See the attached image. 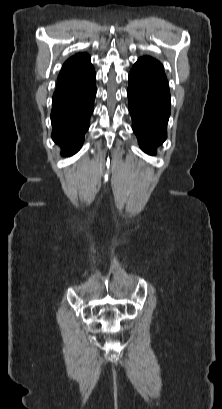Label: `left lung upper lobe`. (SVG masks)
I'll use <instances>...</instances> for the list:
<instances>
[{
	"label": "left lung upper lobe",
	"instance_id": "1",
	"mask_svg": "<svg viewBox=\"0 0 222 409\" xmlns=\"http://www.w3.org/2000/svg\"><path fill=\"white\" fill-rule=\"evenodd\" d=\"M132 69L138 70V71H142L145 73H149L151 75L163 78L165 80L166 76L164 73V69L163 66L161 65V63L159 61H157L156 59L152 58V57H141L133 66Z\"/></svg>",
	"mask_w": 222,
	"mask_h": 409
}]
</instances>
